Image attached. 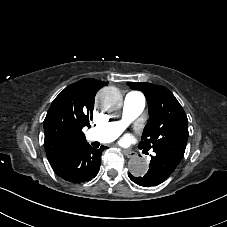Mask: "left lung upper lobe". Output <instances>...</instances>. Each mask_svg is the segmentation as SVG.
Returning <instances> with one entry per match:
<instances>
[{
  "instance_id": "5c2ea615",
  "label": "left lung upper lobe",
  "mask_w": 227,
  "mask_h": 227,
  "mask_svg": "<svg viewBox=\"0 0 227 227\" xmlns=\"http://www.w3.org/2000/svg\"><path fill=\"white\" fill-rule=\"evenodd\" d=\"M127 85L142 91L148 102L150 117L138 147L182 159L189 135L188 119L175 96L161 85L141 82Z\"/></svg>"
}]
</instances>
